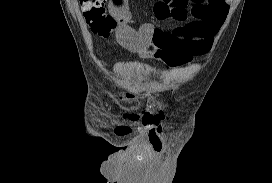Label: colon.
I'll list each match as a JSON object with an SVG mask.
<instances>
[{"mask_svg": "<svg viewBox=\"0 0 272 183\" xmlns=\"http://www.w3.org/2000/svg\"><path fill=\"white\" fill-rule=\"evenodd\" d=\"M106 0H80L84 17L92 30L104 37L109 36L120 26V20L126 11L127 0H111L115 13H108L105 8Z\"/></svg>", "mask_w": 272, "mask_h": 183, "instance_id": "colon-1", "label": "colon"}]
</instances>
